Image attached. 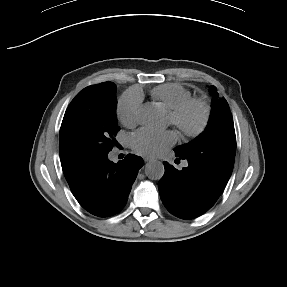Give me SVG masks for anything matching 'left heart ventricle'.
<instances>
[{
    "label": "left heart ventricle",
    "mask_w": 287,
    "mask_h": 287,
    "mask_svg": "<svg viewBox=\"0 0 287 287\" xmlns=\"http://www.w3.org/2000/svg\"><path fill=\"white\" fill-rule=\"evenodd\" d=\"M199 121V113L195 110H192L188 112L184 118L183 123L187 127H194ZM168 122H170V119H168Z\"/></svg>",
    "instance_id": "b2bd125f"
}]
</instances>
